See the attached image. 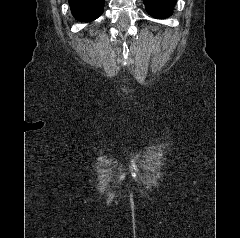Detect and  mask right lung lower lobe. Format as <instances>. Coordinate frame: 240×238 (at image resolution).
<instances>
[{"mask_svg":"<svg viewBox=\"0 0 240 238\" xmlns=\"http://www.w3.org/2000/svg\"><path fill=\"white\" fill-rule=\"evenodd\" d=\"M105 0H69L73 16L83 22L98 18L104 9Z\"/></svg>","mask_w":240,"mask_h":238,"instance_id":"98d812e1","label":"right lung lower lobe"}]
</instances>
